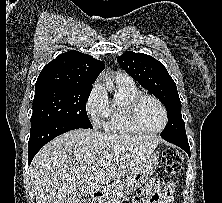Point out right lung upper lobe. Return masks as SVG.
Wrapping results in <instances>:
<instances>
[{
	"label": "right lung upper lobe",
	"instance_id": "obj_1",
	"mask_svg": "<svg viewBox=\"0 0 222 203\" xmlns=\"http://www.w3.org/2000/svg\"><path fill=\"white\" fill-rule=\"evenodd\" d=\"M103 62L90 55L71 50L60 54L41 71L35 91L54 86L92 87L104 69Z\"/></svg>",
	"mask_w": 222,
	"mask_h": 203
}]
</instances>
